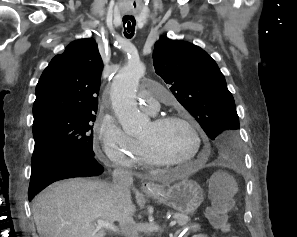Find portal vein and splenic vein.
<instances>
[{"instance_id":"18ae733b","label":"portal vein and splenic vein","mask_w":297,"mask_h":237,"mask_svg":"<svg viewBox=\"0 0 297 237\" xmlns=\"http://www.w3.org/2000/svg\"><path fill=\"white\" fill-rule=\"evenodd\" d=\"M176 223H177V221L173 220V221L170 222L169 226L173 227V226L176 225ZM97 228L98 229L106 228V229L111 230L113 232H118L119 231V229L115 225L110 224V223H108L106 221H103V220H98L97 221Z\"/></svg>"}]
</instances>
